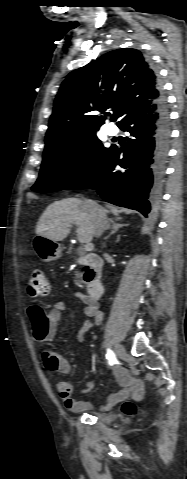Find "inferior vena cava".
Returning a JSON list of instances; mask_svg holds the SVG:
<instances>
[{"label": "inferior vena cava", "mask_w": 187, "mask_h": 479, "mask_svg": "<svg viewBox=\"0 0 187 479\" xmlns=\"http://www.w3.org/2000/svg\"><path fill=\"white\" fill-rule=\"evenodd\" d=\"M90 207L94 223V233L96 237H100L108 227V219L105 210L96 202L86 200Z\"/></svg>", "instance_id": "602c4592"}]
</instances>
